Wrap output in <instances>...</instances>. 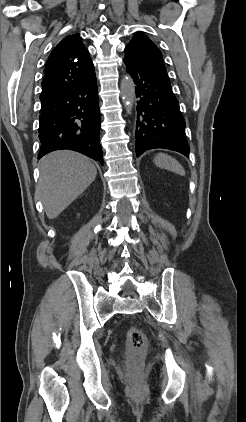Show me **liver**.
Here are the masks:
<instances>
[{
  "mask_svg": "<svg viewBox=\"0 0 246 422\" xmlns=\"http://www.w3.org/2000/svg\"><path fill=\"white\" fill-rule=\"evenodd\" d=\"M97 170L90 159L74 151H55L40 160L36 188L49 219L56 218L94 181Z\"/></svg>",
  "mask_w": 246,
  "mask_h": 422,
  "instance_id": "liver-1",
  "label": "liver"
}]
</instances>
